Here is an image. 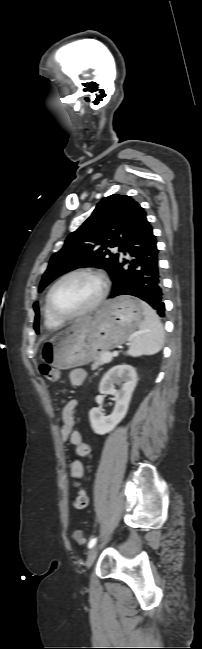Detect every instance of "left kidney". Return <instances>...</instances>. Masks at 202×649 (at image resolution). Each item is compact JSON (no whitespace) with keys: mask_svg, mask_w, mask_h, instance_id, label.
Masks as SVG:
<instances>
[{"mask_svg":"<svg viewBox=\"0 0 202 649\" xmlns=\"http://www.w3.org/2000/svg\"><path fill=\"white\" fill-rule=\"evenodd\" d=\"M114 384L118 385L119 389H116ZM136 384L137 373L132 366L127 364L115 366L103 376L99 385V392L113 395L115 407L108 416H104L101 408H92L90 410L89 420L94 433L106 434L122 421L128 411Z\"/></svg>","mask_w":202,"mask_h":649,"instance_id":"5707ae66","label":"left kidney"}]
</instances>
